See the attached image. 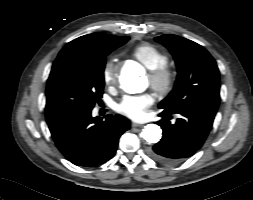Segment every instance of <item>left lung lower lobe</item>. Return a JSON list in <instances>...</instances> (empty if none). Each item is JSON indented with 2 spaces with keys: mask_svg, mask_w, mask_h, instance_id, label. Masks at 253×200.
I'll return each mask as SVG.
<instances>
[{
  "mask_svg": "<svg viewBox=\"0 0 253 200\" xmlns=\"http://www.w3.org/2000/svg\"><path fill=\"white\" fill-rule=\"evenodd\" d=\"M170 114L165 110L159 114L163 118L157 124L163 130V137L149 150L150 157L163 164H175L192 156L207 138L216 112L180 111L181 117L175 124L168 120Z\"/></svg>",
  "mask_w": 253,
  "mask_h": 200,
  "instance_id": "1",
  "label": "left lung lower lobe"
}]
</instances>
